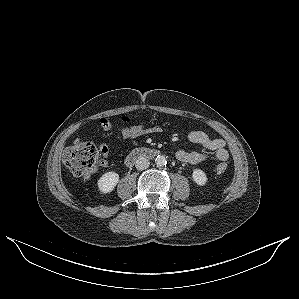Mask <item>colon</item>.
<instances>
[{"instance_id": "obj_1", "label": "colon", "mask_w": 299, "mask_h": 299, "mask_svg": "<svg viewBox=\"0 0 299 299\" xmlns=\"http://www.w3.org/2000/svg\"><path fill=\"white\" fill-rule=\"evenodd\" d=\"M105 156L92 142H76L69 147L63 156V161L70 173L82 179L90 178L105 162ZM227 169L225 162L217 165V172L223 173Z\"/></svg>"}]
</instances>
